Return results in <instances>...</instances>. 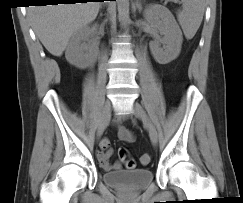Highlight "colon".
Masks as SVG:
<instances>
[{"label":"colon","instance_id":"obj_1","mask_svg":"<svg viewBox=\"0 0 243 203\" xmlns=\"http://www.w3.org/2000/svg\"><path fill=\"white\" fill-rule=\"evenodd\" d=\"M119 157L124 159L126 158L127 152L124 148H120L118 151ZM140 162L143 165H147L151 162V156L149 154H144L140 158ZM136 166V163L134 160H128L126 161V167L127 169H134Z\"/></svg>","mask_w":243,"mask_h":203}]
</instances>
